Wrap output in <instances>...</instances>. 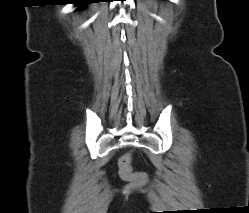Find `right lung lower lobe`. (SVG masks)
<instances>
[{
	"label": "right lung lower lobe",
	"mask_w": 249,
	"mask_h": 213,
	"mask_svg": "<svg viewBox=\"0 0 249 213\" xmlns=\"http://www.w3.org/2000/svg\"><path fill=\"white\" fill-rule=\"evenodd\" d=\"M74 4H80V3H93L92 0H70Z\"/></svg>",
	"instance_id": "1"
}]
</instances>
